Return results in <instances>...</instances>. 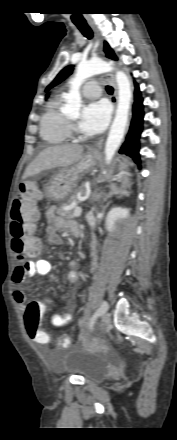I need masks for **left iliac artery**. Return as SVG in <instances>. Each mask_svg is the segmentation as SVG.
<instances>
[{
	"instance_id": "44dca946",
	"label": "left iliac artery",
	"mask_w": 177,
	"mask_h": 440,
	"mask_svg": "<svg viewBox=\"0 0 177 440\" xmlns=\"http://www.w3.org/2000/svg\"><path fill=\"white\" fill-rule=\"evenodd\" d=\"M108 309V304L106 301H103L101 306L99 307V309L94 313V315L91 317L90 322H89V328L90 330L93 329L94 323L96 321V319L102 315L105 311H107Z\"/></svg>"
}]
</instances>
